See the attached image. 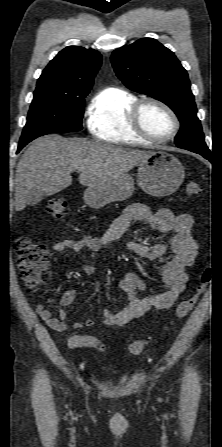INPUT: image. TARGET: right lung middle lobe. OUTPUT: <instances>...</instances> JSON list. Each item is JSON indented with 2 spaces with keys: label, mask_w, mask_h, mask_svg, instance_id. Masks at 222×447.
Returning a JSON list of instances; mask_svg holds the SVG:
<instances>
[{
  "label": "right lung middle lobe",
  "mask_w": 222,
  "mask_h": 447,
  "mask_svg": "<svg viewBox=\"0 0 222 447\" xmlns=\"http://www.w3.org/2000/svg\"><path fill=\"white\" fill-rule=\"evenodd\" d=\"M87 94L76 96L56 89L36 88L18 151L45 134L80 131Z\"/></svg>",
  "instance_id": "1"
}]
</instances>
